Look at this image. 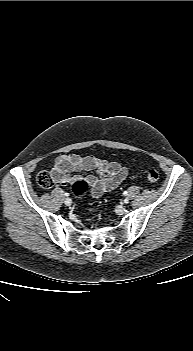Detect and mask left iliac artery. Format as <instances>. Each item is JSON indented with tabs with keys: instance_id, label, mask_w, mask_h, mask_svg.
I'll return each mask as SVG.
<instances>
[{
	"instance_id": "obj_1",
	"label": "left iliac artery",
	"mask_w": 193,
	"mask_h": 351,
	"mask_svg": "<svg viewBox=\"0 0 193 351\" xmlns=\"http://www.w3.org/2000/svg\"><path fill=\"white\" fill-rule=\"evenodd\" d=\"M123 194L126 196V195H128V192H127V191H124Z\"/></svg>"
}]
</instances>
